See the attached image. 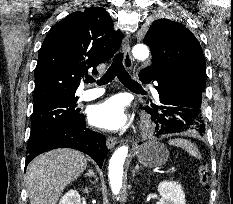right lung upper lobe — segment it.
Wrapping results in <instances>:
<instances>
[{"label": "right lung upper lobe", "mask_w": 233, "mask_h": 204, "mask_svg": "<svg viewBox=\"0 0 233 204\" xmlns=\"http://www.w3.org/2000/svg\"><path fill=\"white\" fill-rule=\"evenodd\" d=\"M122 36L102 7L76 11L56 23L39 52L34 103L54 97H75L81 77L110 59Z\"/></svg>", "instance_id": "cb5924a9"}]
</instances>
